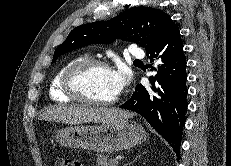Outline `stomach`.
<instances>
[{
	"instance_id": "stomach-1",
	"label": "stomach",
	"mask_w": 231,
	"mask_h": 166,
	"mask_svg": "<svg viewBox=\"0 0 231 166\" xmlns=\"http://www.w3.org/2000/svg\"><path fill=\"white\" fill-rule=\"evenodd\" d=\"M130 118L95 126L66 127L57 131L56 139L64 147L101 153L129 149L145 141L147 136L144 128Z\"/></svg>"
}]
</instances>
